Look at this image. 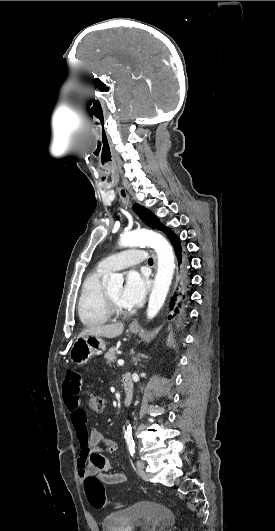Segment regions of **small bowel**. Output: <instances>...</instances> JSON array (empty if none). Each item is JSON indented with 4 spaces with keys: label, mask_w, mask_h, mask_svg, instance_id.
<instances>
[{
    "label": "small bowel",
    "mask_w": 275,
    "mask_h": 531,
    "mask_svg": "<svg viewBox=\"0 0 275 531\" xmlns=\"http://www.w3.org/2000/svg\"><path fill=\"white\" fill-rule=\"evenodd\" d=\"M66 381L63 383V396L70 412V422L75 436L80 442L81 449L77 456V475L84 479L86 471H95L97 477L104 483H124L127 477L123 473L112 472V465L103 452L114 453L118 449L117 443L105 437L99 430L88 432V418L80 406L78 394L81 392V377L76 368L66 369ZM86 438L82 446L81 440Z\"/></svg>",
    "instance_id": "small-bowel-1"
}]
</instances>
